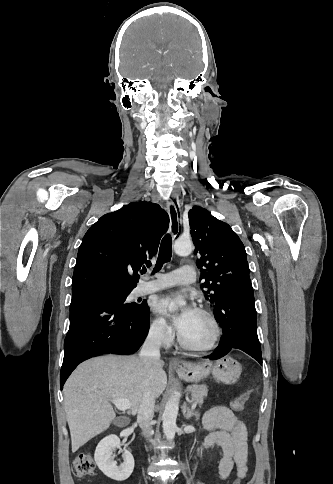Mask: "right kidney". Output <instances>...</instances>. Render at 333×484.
Wrapping results in <instances>:
<instances>
[{
	"mask_svg": "<svg viewBox=\"0 0 333 484\" xmlns=\"http://www.w3.org/2000/svg\"><path fill=\"white\" fill-rule=\"evenodd\" d=\"M120 447V439L116 435H109L98 443L94 455L99 469L107 477L116 481L126 480L134 469V458L127 450L123 454L124 462L117 466V462L113 457V450Z\"/></svg>",
	"mask_w": 333,
	"mask_h": 484,
	"instance_id": "ca27d5eb",
	"label": "right kidney"
}]
</instances>
